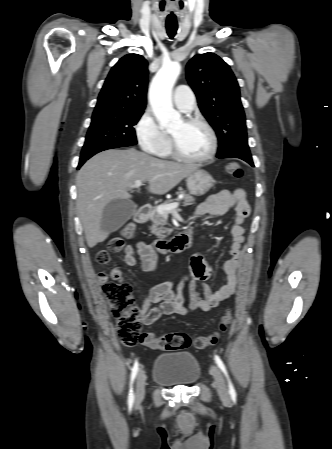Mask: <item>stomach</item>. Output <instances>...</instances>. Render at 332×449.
I'll list each match as a JSON object with an SVG mask.
<instances>
[{
  "label": "stomach",
  "mask_w": 332,
  "mask_h": 449,
  "mask_svg": "<svg viewBox=\"0 0 332 449\" xmlns=\"http://www.w3.org/2000/svg\"><path fill=\"white\" fill-rule=\"evenodd\" d=\"M187 188L192 195L202 196L214 185L212 176L205 170L197 169L187 176Z\"/></svg>",
  "instance_id": "obj_1"
}]
</instances>
